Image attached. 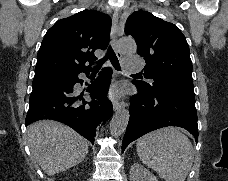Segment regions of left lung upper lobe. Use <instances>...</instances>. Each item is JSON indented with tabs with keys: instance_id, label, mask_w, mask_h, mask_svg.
Listing matches in <instances>:
<instances>
[{
	"instance_id": "left-lung-upper-lobe-1",
	"label": "left lung upper lobe",
	"mask_w": 228,
	"mask_h": 181,
	"mask_svg": "<svg viewBox=\"0 0 228 181\" xmlns=\"http://www.w3.org/2000/svg\"><path fill=\"white\" fill-rule=\"evenodd\" d=\"M125 34L134 37L137 53L144 57V77L136 79L142 86L161 83L194 93L192 62L185 36L177 26L166 22L148 11L132 13L126 22Z\"/></svg>"
}]
</instances>
